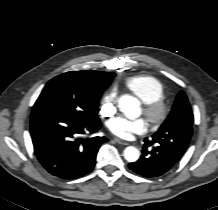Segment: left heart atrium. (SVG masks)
Returning a JSON list of instances; mask_svg holds the SVG:
<instances>
[{
	"label": "left heart atrium",
	"instance_id": "obj_1",
	"mask_svg": "<svg viewBox=\"0 0 218 210\" xmlns=\"http://www.w3.org/2000/svg\"><path fill=\"white\" fill-rule=\"evenodd\" d=\"M109 129L114 135L122 139H131L136 134H144L148 130V123L143 118L118 117L110 122Z\"/></svg>",
	"mask_w": 218,
	"mask_h": 210
}]
</instances>
